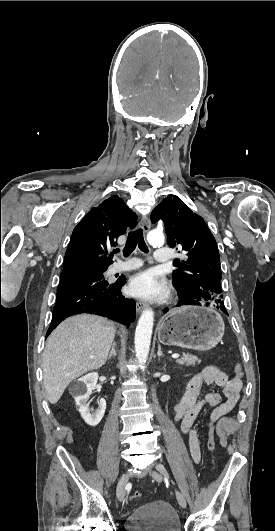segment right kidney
Here are the masks:
<instances>
[{"label":"right kidney","instance_id":"obj_1","mask_svg":"<svg viewBox=\"0 0 275 531\" xmlns=\"http://www.w3.org/2000/svg\"><path fill=\"white\" fill-rule=\"evenodd\" d=\"M98 377V373H88V375H84V377H80V379L74 381L69 387V393L74 397L82 419H84L85 423L90 425V427H96V425H99L104 417L106 409L105 399H100L99 407L96 409L95 413H91V409H89L87 405V401L97 385Z\"/></svg>","mask_w":275,"mask_h":531}]
</instances>
